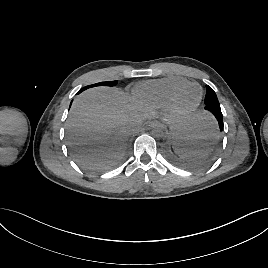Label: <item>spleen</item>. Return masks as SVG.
<instances>
[{
  "mask_svg": "<svg viewBox=\"0 0 268 268\" xmlns=\"http://www.w3.org/2000/svg\"><path fill=\"white\" fill-rule=\"evenodd\" d=\"M216 118L209 113L198 116L191 127L188 140L189 147L176 148L175 151L183 158L202 157L212 154L220 138V129L216 126Z\"/></svg>",
  "mask_w": 268,
  "mask_h": 268,
  "instance_id": "obj_1",
  "label": "spleen"
}]
</instances>
